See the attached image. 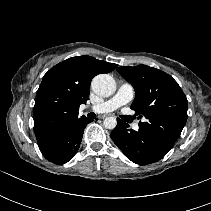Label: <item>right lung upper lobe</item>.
<instances>
[{"instance_id":"right-lung-upper-lobe-1","label":"right lung upper lobe","mask_w":211,"mask_h":211,"mask_svg":"<svg viewBox=\"0 0 211 211\" xmlns=\"http://www.w3.org/2000/svg\"><path fill=\"white\" fill-rule=\"evenodd\" d=\"M117 66L84 55L71 57L51 68L43 77L33 109L37 141L78 120L79 106L89 99L93 77L111 72Z\"/></svg>"}]
</instances>
